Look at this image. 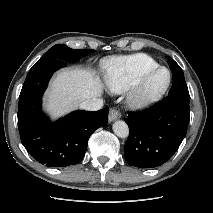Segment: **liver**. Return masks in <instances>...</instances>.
Listing matches in <instances>:
<instances>
[{"mask_svg":"<svg viewBox=\"0 0 213 213\" xmlns=\"http://www.w3.org/2000/svg\"><path fill=\"white\" fill-rule=\"evenodd\" d=\"M103 84L91 70L66 69L56 74L45 95V108L53 119L77 108L86 100L99 97Z\"/></svg>","mask_w":213,"mask_h":213,"instance_id":"6515ba94","label":"liver"}]
</instances>
